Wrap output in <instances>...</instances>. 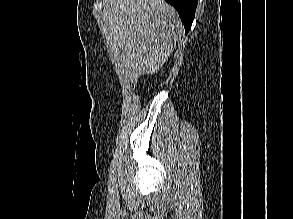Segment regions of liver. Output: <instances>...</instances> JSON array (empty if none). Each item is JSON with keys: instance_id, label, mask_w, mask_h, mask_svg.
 I'll use <instances>...</instances> for the list:
<instances>
[{"instance_id": "6515ba94", "label": "liver", "mask_w": 293, "mask_h": 219, "mask_svg": "<svg viewBox=\"0 0 293 219\" xmlns=\"http://www.w3.org/2000/svg\"><path fill=\"white\" fill-rule=\"evenodd\" d=\"M102 20L112 60L126 80L156 73L184 30L164 0H104Z\"/></svg>"}]
</instances>
